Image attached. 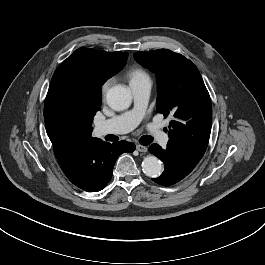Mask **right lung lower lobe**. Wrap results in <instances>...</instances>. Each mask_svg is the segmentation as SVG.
<instances>
[{"instance_id": "1", "label": "right lung lower lobe", "mask_w": 265, "mask_h": 265, "mask_svg": "<svg viewBox=\"0 0 265 265\" xmlns=\"http://www.w3.org/2000/svg\"><path fill=\"white\" fill-rule=\"evenodd\" d=\"M135 145L127 141L113 144L93 140L68 163L61 166L67 178L87 192L102 190L110 181L117 158L124 152H133Z\"/></svg>"}]
</instances>
